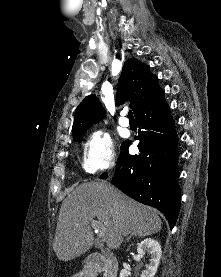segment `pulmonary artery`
I'll use <instances>...</instances> for the list:
<instances>
[{"label":"pulmonary artery","mask_w":221,"mask_h":277,"mask_svg":"<svg viewBox=\"0 0 221 277\" xmlns=\"http://www.w3.org/2000/svg\"><path fill=\"white\" fill-rule=\"evenodd\" d=\"M119 124L122 127H129V125H130L129 120L126 118V112L125 111L121 112V116L119 118Z\"/></svg>","instance_id":"pulmonary-artery-1"}]
</instances>
